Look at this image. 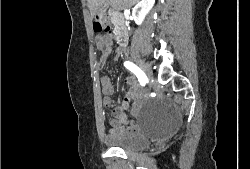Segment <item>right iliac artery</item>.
Instances as JSON below:
<instances>
[{"label":"right iliac artery","mask_w":250,"mask_h":169,"mask_svg":"<svg viewBox=\"0 0 250 169\" xmlns=\"http://www.w3.org/2000/svg\"><path fill=\"white\" fill-rule=\"evenodd\" d=\"M124 66L137 76L138 81L142 86H145V84L148 82V78L138 66L129 61L124 62Z\"/></svg>","instance_id":"obj_1"}]
</instances>
